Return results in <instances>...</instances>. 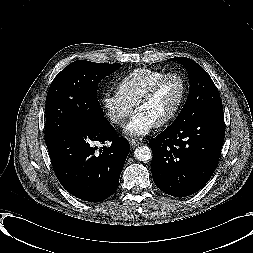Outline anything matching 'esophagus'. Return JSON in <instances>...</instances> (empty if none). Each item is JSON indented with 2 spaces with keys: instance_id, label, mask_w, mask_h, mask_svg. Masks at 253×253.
<instances>
[{
  "instance_id": "obj_1",
  "label": "esophagus",
  "mask_w": 253,
  "mask_h": 253,
  "mask_svg": "<svg viewBox=\"0 0 253 253\" xmlns=\"http://www.w3.org/2000/svg\"><path fill=\"white\" fill-rule=\"evenodd\" d=\"M129 143L133 147L139 146L141 144L138 140L135 139H129Z\"/></svg>"
}]
</instances>
